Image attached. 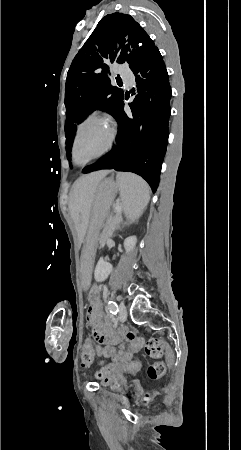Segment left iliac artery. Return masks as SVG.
<instances>
[{
	"mask_svg": "<svg viewBox=\"0 0 241 450\" xmlns=\"http://www.w3.org/2000/svg\"><path fill=\"white\" fill-rule=\"evenodd\" d=\"M108 309H109L110 313L117 314L118 306H117L116 302H114L113 300H110L108 302Z\"/></svg>",
	"mask_w": 241,
	"mask_h": 450,
	"instance_id": "obj_1",
	"label": "left iliac artery"
}]
</instances>
